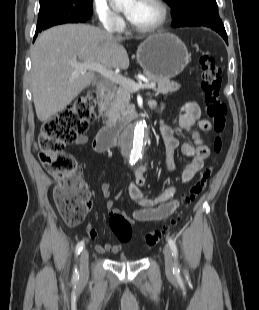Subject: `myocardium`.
Returning <instances> with one entry per match:
<instances>
[{
	"label": "myocardium",
	"mask_w": 259,
	"mask_h": 310,
	"mask_svg": "<svg viewBox=\"0 0 259 310\" xmlns=\"http://www.w3.org/2000/svg\"><path fill=\"white\" fill-rule=\"evenodd\" d=\"M160 9L161 16L160 19L157 23H155L152 26L149 27H139L134 25L130 20H129V26L131 27L132 30H134L137 33L141 34H149V33H154L159 30H161L166 23L168 22L169 19V9L164 0H152Z\"/></svg>",
	"instance_id": "1"
}]
</instances>
